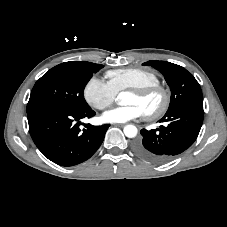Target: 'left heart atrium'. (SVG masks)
<instances>
[{
	"instance_id": "1",
	"label": "left heart atrium",
	"mask_w": 227,
	"mask_h": 227,
	"mask_svg": "<svg viewBox=\"0 0 227 227\" xmlns=\"http://www.w3.org/2000/svg\"><path fill=\"white\" fill-rule=\"evenodd\" d=\"M144 113L137 105L129 104L125 106L115 107L106 111L102 115V119L109 123H124L143 116Z\"/></svg>"
}]
</instances>
